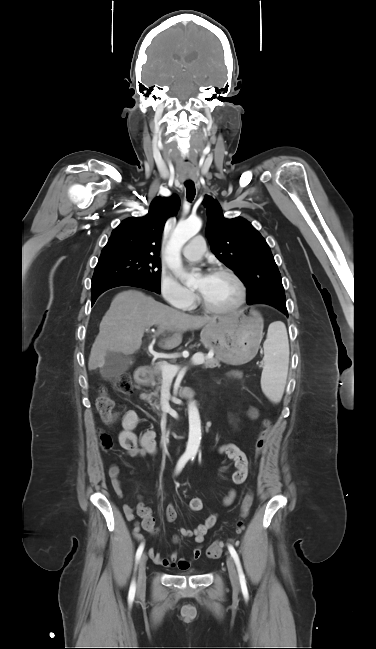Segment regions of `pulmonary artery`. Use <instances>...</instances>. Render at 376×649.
Instances as JSON below:
<instances>
[{"label": "pulmonary artery", "instance_id": "obj_1", "mask_svg": "<svg viewBox=\"0 0 376 649\" xmlns=\"http://www.w3.org/2000/svg\"><path fill=\"white\" fill-rule=\"evenodd\" d=\"M205 249L206 245L204 238L201 235H197L193 237L186 246H184L183 254L190 260H198L204 254Z\"/></svg>", "mask_w": 376, "mask_h": 649}]
</instances>
